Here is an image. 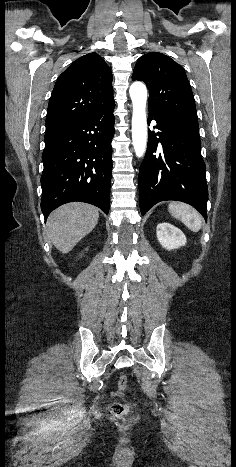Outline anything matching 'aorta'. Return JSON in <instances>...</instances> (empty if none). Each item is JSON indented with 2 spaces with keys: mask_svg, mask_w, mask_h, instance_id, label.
<instances>
[{
  "mask_svg": "<svg viewBox=\"0 0 236 467\" xmlns=\"http://www.w3.org/2000/svg\"><path fill=\"white\" fill-rule=\"evenodd\" d=\"M129 93L133 105L132 141L136 156L140 158L145 154L147 147V89L143 83L134 82L130 86Z\"/></svg>",
  "mask_w": 236,
  "mask_h": 467,
  "instance_id": "obj_1",
  "label": "aorta"
}]
</instances>
